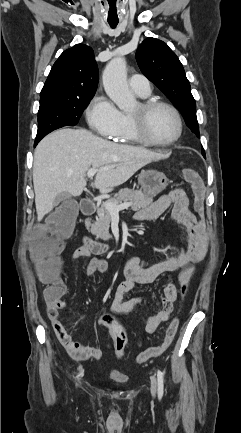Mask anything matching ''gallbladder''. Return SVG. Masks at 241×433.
<instances>
[{"instance_id":"obj_1","label":"gallbladder","mask_w":241,"mask_h":433,"mask_svg":"<svg viewBox=\"0 0 241 433\" xmlns=\"http://www.w3.org/2000/svg\"><path fill=\"white\" fill-rule=\"evenodd\" d=\"M61 201L68 202L67 209L73 218H75L79 211L78 203L76 201H71V195L68 192L59 193L54 200V204H58Z\"/></svg>"}]
</instances>
